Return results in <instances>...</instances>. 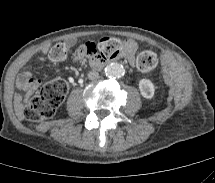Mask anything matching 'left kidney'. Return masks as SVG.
<instances>
[{
    "mask_svg": "<svg viewBox=\"0 0 215 183\" xmlns=\"http://www.w3.org/2000/svg\"><path fill=\"white\" fill-rule=\"evenodd\" d=\"M139 90L144 98L151 99L154 96V85L148 79H141L139 81Z\"/></svg>",
    "mask_w": 215,
    "mask_h": 183,
    "instance_id": "1",
    "label": "left kidney"
}]
</instances>
